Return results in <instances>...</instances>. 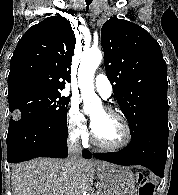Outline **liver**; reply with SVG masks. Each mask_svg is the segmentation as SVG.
Listing matches in <instances>:
<instances>
[{
  "mask_svg": "<svg viewBox=\"0 0 178 195\" xmlns=\"http://www.w3.org/2000/svg\"><path fill=\"white\" fill-rule=\"evenodd\" d=\"M102 167L110 166L101 162ZM95 164L81 159L76 171L68 159L37 158L12 166L13 195H83L95 178Z\"/></svg>",
  "mask_w": 178,
  "mask_h": 195,
  "instance_id": "6515ba94",
  "label": "liver"
}]
</instances>
